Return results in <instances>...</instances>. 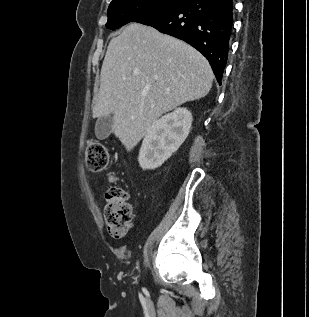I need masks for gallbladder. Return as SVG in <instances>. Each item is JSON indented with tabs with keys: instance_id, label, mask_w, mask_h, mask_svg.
<instances>
[{
	"instance_id": "bac80fb5",
	"label": "gallbladder",
	"mask_w": 309,
	"mask_h": 317,
	"mask_svg": "<svg viewBox=\"0 0 309 317\" xmlns=\"http://www.w3.org/2000/svg\"><path fill=\"white\" fill-rule=\"evenodd\" d=\"M113 116L107 115L97 119L95 124V135L98 139H106L112 130Z\"/></svg>"
}]
</instances>
